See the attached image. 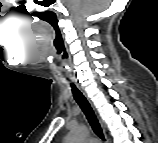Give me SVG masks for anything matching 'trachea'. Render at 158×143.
<instances>
[{
    "instance_id": "trachea-1",
    "label": "trachea",
    "mask_w": 158,
    "mask_h": 143,
    "mask_svg": "<svg viewBox=\"0 0 158 143\" xmlns=\"http://www.w3.org/2000/svg\"><path fill=\"white\" fill-rule=\"evenodd\" d=\"M70 86L72 88V93H73V96H74L76 102L79 104L80 108L82 109V111L86 115V118L88 119L93 131L95 132V134L97 136H99L102 140H104L102 128H101L90 104L85 99V97L76 89L74 84H70Z\"/></svg>"
}]
</instances>
